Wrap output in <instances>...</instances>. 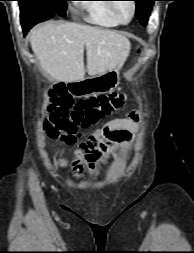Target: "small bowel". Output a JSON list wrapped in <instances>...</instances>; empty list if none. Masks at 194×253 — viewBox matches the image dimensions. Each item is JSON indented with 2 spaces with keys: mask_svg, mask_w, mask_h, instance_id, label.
<instances>
[{
  "mask_svg": "<svg viewBox=\"0 0 194 253\" xmlns=\"http://www.w3.org/2000/svg\"><path fill=\"white\" fill-rule=\"evenodd\" d=\"M139 113L131 110L126 118L110 120L96 129L79 145V159L72 165V174L82 178L88 173L102 170L110 158L126 151L130 135L137 130Z\"/></svg>",
  "mask_w": 194,
  "mask_h": 253,
  "instance_id": "c3829d8e",
  "label": "small bowel"
}]
</instances>
